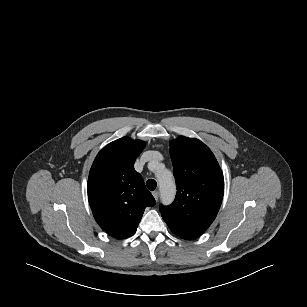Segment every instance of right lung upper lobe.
<instances>
[{"label":"right lung upper lobe","mask_w":307,"mask_h":307,"mask_svg":"<svg viewBox=\"0 0 307 307\" xmlns=\"http://www.w3.org/2000/svg\"><path fill=\"white\" fill-rule=\"evenodd\" d=\"M145 142L127 136L106 145L96 156L88 178V199L99 226L112 237L133 235L146 207L155 199L133 165Z\"/></svg>","instance_id":"obj_1"}]
</instances>
